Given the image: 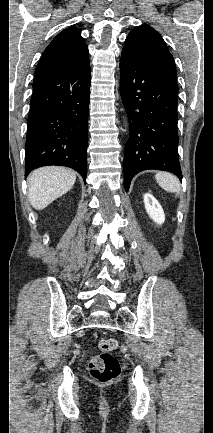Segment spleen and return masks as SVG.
I'll list each match as a JSON object with an SVG mask.
<instances>
[{
  "label": "spleen",
  "instance_id": "spleen-1",
  "mask_svg": "<svg viewBox=\"0 0 213 433\" xmlns=\"http://www.w3.org/2000/svg\"><path fill=\"white\" fill-rule=\"evenodd\" d=\"M155 179L159 186L167 192L176 193V195L179 194L180 183L174 175L166 172H159L155 175Z\"/></svg>",
  "mask_w": 213,
  "mask_h": 433
}]
</instances>
